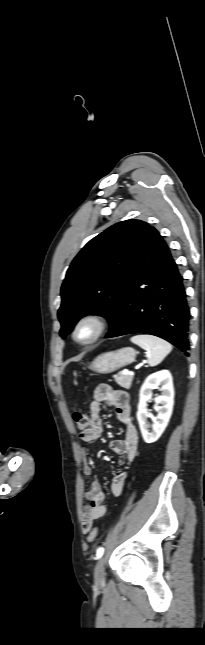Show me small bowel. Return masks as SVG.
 <instances>
[{
    "instance_id": "small-bowel-1",
    "label": "small bowel",
    "mask_w": 205,
    "mask_h": 645,
    "mask_svg": "<svg viewBox=\"0 0 205 645\" xmlns=\"http://www.w3.org/2000/svg\"><path fill=\"white\" fill-rule=\"evenodd\" d=\"M108 403L115 409L118 421L123 425L124 437L111 442L112 450L121 455L124 459L122 467L113 476L111 482V493L114 496L121 495L127 479V465L132 463L138 451V433L131 422V408L128 394L119 389H114L108 384L98 385L93 393V401L90 405L91 422L87 430L81 433L80 437L87 443L97 441L103 432V422L100 415V404ZM83 470L85 475L92 474V465L88 458L86 449H81ZM87 504L82 508V531L87 534L96 520L102 518L107 511L104 505L105 493L97 481H92L85 494Z\"/></svg>"
}]
</instances>
